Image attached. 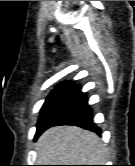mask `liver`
I'll return each mask as SVG.
<instances>
[{
	"mask_svg": "<svg viewBox=\"0 0 135 166\" xmlns=\"http://www.w3.org/2000/svg\"><path fill=\"white\" fill-rule=\"evenodd\" d=\"M35 150L39 165H104L107 150L93 132L76 126L46 130Z\"/></svg>",
	"mask_w": 135,
	"mask_h": 166,
	"instance_id": "obj_1",
	"label": "liver"
}]
</instances>
